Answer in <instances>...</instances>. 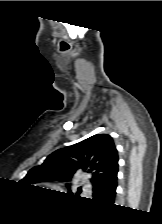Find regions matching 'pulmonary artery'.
<instances>
[{"label": "pulmonary artery", "instance_id": "1", "mask_svg": "<svg viewBox=\"0 0 162 224\" xmlns=\"http://www.w3.org/2000/svg\"><path fill=\"white\" fill-rule=\"evenodd\" d=\"M82 182L84 183L83 187H87V186H89L87 183H85L84 180H83Z\"/></svg>", "mask_w": 162, "mask_h": 224}]
</instances>
